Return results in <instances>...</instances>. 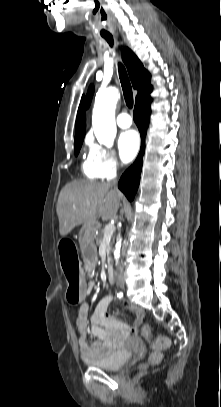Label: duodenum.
Returning <instances> with one entry per match:
<instances>
[{
  "label": "duodenum",
  "instance_id": "duodenum-1",
  "mask_svg": "<svg viewBox=\"0 0 221 407\" xmlns=\"http://www.w3.org/2000/svg\"><path fill=\"white\" fill-rule=\"evenodd\" d=\"M106 274H107L108 280H109L110 282H113V281H114V273H113V269H112L111 266H108V267H107Z\"/></svg>",
  "mask_w": 221,
  "mask_h": 407
}]
</instances>
